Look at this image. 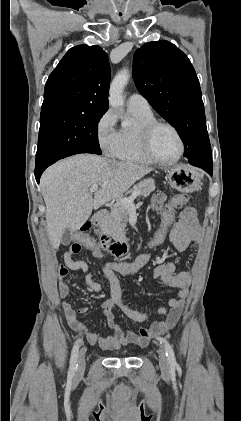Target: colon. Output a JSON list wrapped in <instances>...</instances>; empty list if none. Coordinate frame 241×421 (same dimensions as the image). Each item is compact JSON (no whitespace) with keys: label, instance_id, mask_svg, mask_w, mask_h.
I'll use <instances>...</instances> for the list:
<instances>
[{"label":"colon","instance_id":"colon-1","mask_svg":"<svg viewBox=\"0 0 241 421\" xmlns=\"http://www.w3.org/2000/svg\"><path fill=\"white\" fill-rule=\"evenodd\" d=\"M187 196L185 194H178L173 196L170 201L164 207L163 213L160 215V222L155 229L153 235L149 239L146 247L147 249H154L161 246L169 235L171 226L175 221V213L178 209L182 208L187 203ZM89 229V225L85 224L81 227L80 231L75 235V242L70 246L71 251L77 254L82 251L83 247H87L98 253L95 242L88 237L86 234ZM102 246V245H101ZM103 250H106L102 247ZM107 251V250H106ZM66 274V269H60V275Z\"/></svg>","mask_w":241,"mask_h":421}]
</instances>
